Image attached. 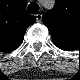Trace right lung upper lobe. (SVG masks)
Instances as JSON below:
<instances>
[{"label": "right lung upper lobe", "instance_id": "obj_1", "mask_svg": "<svg viewBox=\"0 0 80 80\" xmlns=\"http://www.w3.org/2000/svg\"><path fill=\"white\" fill-rule=\"evenodd\" d=\"M35 21V18L26 12V5H23L22 0L10 1L1 10L0 45L9 51L17 48L23 41L27 27Z\"/></svg>", "mask_w": 80, "mask_h": 80}]
</instances>
